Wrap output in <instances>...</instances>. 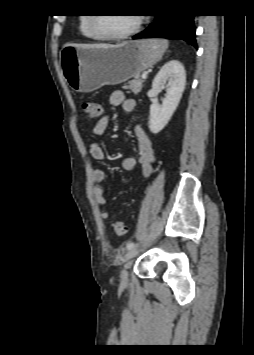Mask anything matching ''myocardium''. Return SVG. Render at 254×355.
I'll list each match as a JSON object with an SVG mask.
<instances>
[{"instance_id":"obj_1","label":"myocardium","mask_w":254,"mask_h":355,"mask_svg":"<svg viewBox=\"0 0 254 355\" xmlns=\"http://www.w3.org/2000/svg\"><path fill=\"white\" fill-rule=\"evenodd\" d=\"M142 19L139 15L135 17L134 25L128 29L127 31L121 34H106L100 29V18L94 16L90 19V29L92 33L100 40H108V41H120L130 38L135 35L140 27H141Z\"/></svg>"}]
</instances>
